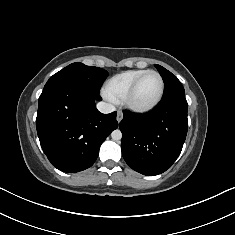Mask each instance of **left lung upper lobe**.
<instances>
[{
    "label": "left lung upper lobe",
    "instance_id": "1",
    "mask_svg": "<svg viewBox=\"0 0 235 235\" xmlns=\"http://www.w3.org/2000/svg\"><path fill=\"white\" fill-rule=\"evenodd\" d=\"M165 84L163 99L173 96H185V90L180 81L170 71L164 67L155 64Z\"/></svg>",
    "mask_w": 235,
    "mask_h": 235
}]
</instances>
